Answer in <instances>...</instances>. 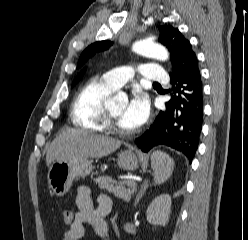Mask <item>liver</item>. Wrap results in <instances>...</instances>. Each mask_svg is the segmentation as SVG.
Here are the masks:
<instances>
[{"mask_svg":"<svg viewBox=\"0 0 248 240\" xmlns=\"http://www.w3.org/2000/svg\"><path fill=\"white\" fill-rule=\"evenodd\" d=\"M121 141L86 131L68 130L54 139L46 154L47 166L54 161L101 158L117 150Z\"/></svg>","mask_w":248,"mask_h":240,"instance_id":"1","label":"liver"}]
</instances>
